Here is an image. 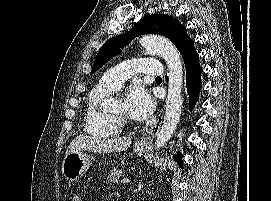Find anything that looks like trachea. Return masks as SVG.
<instances>
[{
	"label": "trachea",
	"mask_w": 271,
	"mask_h": 201,
	"mask_svg": "<svg viewBox=\"0 0 271 201\" xmlns=\"http://www.w3.org/2000/svg\"><path fill=\"white\" fill-rule=\"evenodd\" d=\"M156 79H161V77H156Z\"/></svg>",
	"instance_id": "obj_1"
}]
</instances>
